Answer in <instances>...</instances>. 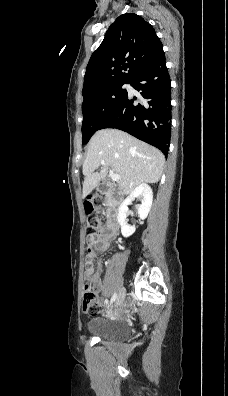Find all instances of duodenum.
I'll list each match as a JSON object with an SVG mask.
<instances>
[{
	"instance_id": "obj_1",
	"label": "duodenum",
	"mask_w": 228,
	"mask_h": 396,
	"mask_svg": "<svg viewBox=\"0 0 228 396\" xmlns=\"http://www.w3.org/2000/svg\"><path fill=\"white\" fill-rule=\"evenodd\" d=\"M105 195L109 196V209H108V228L112 231H117L120 226V207L123 201V196L120 191L106 187L102 191Z\"/></svg>"
}]
</instances>
